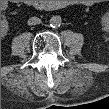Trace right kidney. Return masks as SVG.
I'll return each mask as SVG.
<instances>
[{"instance_id": "right-kidney-1", "label": "right kidney", "mask_w": 109, "mask_h": 109, "mask_svg": "<svg viewBox=\"0 0 109 109\" xmlns=\"http://www.w3.org/2000/svg\"><path fill=\"white\" fill-rule=\"evenodd\" d=\"M7 30H8V24L6 23V24H2V32H3V36L6 34V32H7Z\"/></svg>"}]
</instances>
